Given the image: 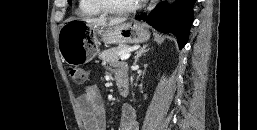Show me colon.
Returning <instances> with one entry per match:
<instances>
[{
	"mask_svg": "<svg viewBox=\"0 0 257 130\" xmlns=\"http://www.w3.org/2000/svg\"><path fill=\"white\" fill-rule=\"evenodd\" d=\"M68 73L73 79V81L77 84H82L87 79V73L84 69L79 67H69Z\"/></svg>",
	"mask_w": 257,
	"mask_h": 130,
	"instance_id": "obj_1",
	"label": "colon"
}]
</instances>
